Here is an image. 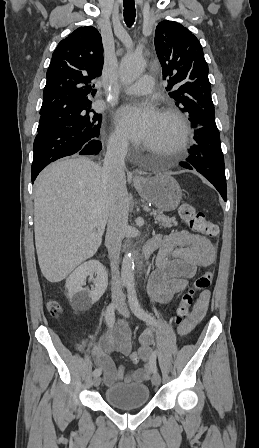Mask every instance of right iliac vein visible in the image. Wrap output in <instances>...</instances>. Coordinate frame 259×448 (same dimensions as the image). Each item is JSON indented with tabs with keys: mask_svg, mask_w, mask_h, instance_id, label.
Masks as SVG:
<instances>
[{
	"mask_svg": "<svg viewBox=\"0 0 259 448\" xmlns=\"http://www.w3.org/2000/svg\"><path fill=\"white\" fill-rule=\"evenodd\" d=\"M100 383H101V378H100V376H94V379H93V385H94L95 387H97V386L100 385Z\"/></svg>",
	"mask_w": 259,
	"mask_h": 448,
	"instance_id": "right-iliac-vein-1",
	"label": "right iliac vein"
}]
</instances>
